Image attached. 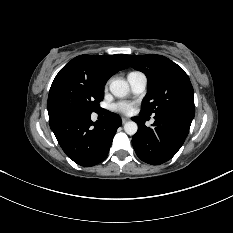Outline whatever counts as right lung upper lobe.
<instances>
[{
  "label": "right lung upper lobe",
  "instance_id": "cb5924a9",
  "mask_svg": "<svg viewBox=\"0 0 233 233\" xmlns=\"http://www.w3.org/2000/svg\"><path fill=\"white\" fill-rule=\"evenodd\" d=\"M127 67L128 65L122 59V55H80L66 64L57 75L71 74L81 76L104 86L112 75Z\"/></svg>",
  "mask_w": 233,
  "mask_h": 233
}]
</instances>
